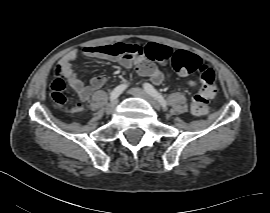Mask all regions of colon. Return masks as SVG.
<instances>
[{
    "mask_svg": "<svg viewBox=\"0 0 270 213\" xmlns=\"http://www.w3.org/2000/svg\"><path fill=\"white\" fill-rule=\"evenodd\" d=\"M110 48L115 54L120 56H139L144 54V48L137 44L119 42L110 45ZM169 63H171L179 76H186L192 72L199 74L202 84L198 93L192 99L191 111L197 116L206 114L209 110L210 100L216 93L215 73L213 69L203 64L197 55L182 50L175 52L171 60L166 61V64ZM51 90L53 101L64 105V90L60 82L54 81L51 85ZM77 105L82 109V104Z\"/></svg>",
    "mask_w": 270,
    "mask_h": 213,
    "instance_id": "5ec220e1",
    "label": "colon"
}]
</instances>
